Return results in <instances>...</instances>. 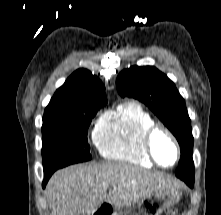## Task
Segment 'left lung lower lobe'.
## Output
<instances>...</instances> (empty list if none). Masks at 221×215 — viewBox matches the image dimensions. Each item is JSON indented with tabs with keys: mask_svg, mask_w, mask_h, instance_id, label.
I'll return each instance as SVG.
<instances>
[{
	"mask_svg": "<svg viewBox=\"0 0 221 215\" xmlns=\"http://www.w3.org/2000/svg\"><path fill=\"white\" fill-rule=\"evenodd\" d=\"M183 181H184L190 188H193V186H194V180L183 179Z\"/></svg>",
	"mask_w": 221,
	"mask_h": 215,
	"instance_id": "obj_1",
	"label": "left lung lower lobe"
}]
</instances>
